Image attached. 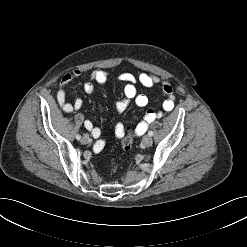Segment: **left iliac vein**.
<instances>
[{
  "label": "left iliac vein",
  "mask_w": 247,
  "mask_h": 247,
  "mask_svg": "<svg viewBox=\"0 0 247 247\" xmlns=\"http://www.w3.org/2000/svg\"><path fill=\"white\" fill-rule=\"evenodd\" d=\"M153 143V140L150 136L146 135L143 137L142 139V144L145 146V147H150Z\"/></svg>",
  "instance_id": "4c4485c4"
}]
</instances>
